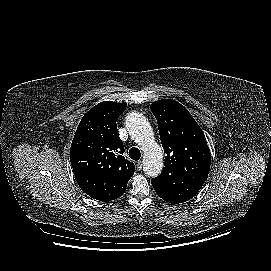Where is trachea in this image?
Here are the masks:
<instances>
[{
	"instance_id": "obj_1",
	"label": "trachea",
	"mask_w": 271,
	"mask_h": 271,
	"mask_svg": "<svg viewBox=\"0 0 271 271\" xmlns=\"http://www.w3.org/2000/svg\"><path fill=\"white\" fill-rule=\"evenodd\" d=\"M129 157L132 159V160H139L140 157H141V152L138 148L136 147H133L129 150Z\"/></svg>"
}]
</instances>
